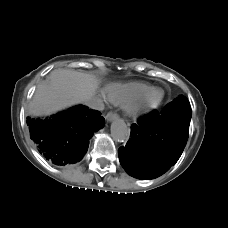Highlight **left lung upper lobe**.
<instances>
[{
    "mask_svg": "<svg viewBox=\"0 0 228 228\" xmlns=\"http://www.w3.org/2000/svg\"><path fill=\"white\" fill-rule=\"evenodd\" d=\"M170 106H176L189 111L191 110L188 99L183 95H180L174 101L170 102L166 107H170Z\"/></svg>",
    "mask_w": 228,
    "mask_h": 228,
    "instance_id": "obj_1",
    "label": "left lung upper lobe"
}]
</instances>
